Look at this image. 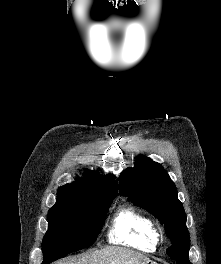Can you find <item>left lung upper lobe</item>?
<instances>
[{
  "mask_svg": "<svg viewBox=\"0 0 221 264\" xmlns=\"http://www.w3.org/2000/svg\"><path fill=\"white\" fill-rule=\"evenodd\" d=\"M120 194L152 213L165 225L172 245L166 253L173 259L188 261L190 237L186 214L177 189L164 168L149 158L140 157L133 168L120 174Z\"/></svg>",
  "mask_w": 221,
  "mask_h": 264,
  "instance_id": "left-lung-upper-lobe-1",
  "label": "left lung upper lobe"
}]
</instances>
